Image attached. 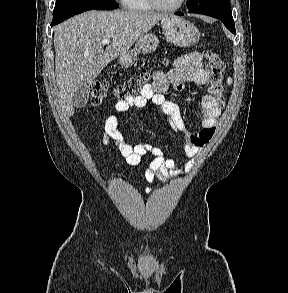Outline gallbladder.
Wrapping results in <instances>:
<instances>
[{
    "label": "gallbladder",
    "instance_id": "1",
    "mask_svg": "<svg viewBox=\"0 0 288 293\" xmlns=\"http://www.w3.org/2000/svg\"><path fill=\"white\" fill-rule=\"evenodd\" d=\"M89 99V90L87 85L81 86L73 96V105L76 108H82L87 104Z\"/></svg>",
    "mask_w": 288,
    "mask_h": 293
}]
</instances>
